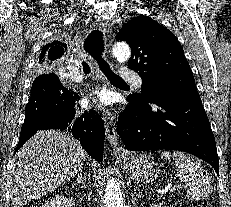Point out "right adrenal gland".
<instances>
[{"label":"right adrenal gland","mask_w":231,"mask_h":207,"mask_svg":"<svg viewBox=\"0 0 231 207\" xmlns=\"http://www.w3.org/2000/svg\"><path fill=\"white\" fill-rule=\"evenodd\" d=\"M86 176L83 175V171L79 170L77 173V178H76V183H74V185L76 184H82L83 188H88V184L86 183Z\"/></svg>","instance_id":"obj_1"}]
</instances>
